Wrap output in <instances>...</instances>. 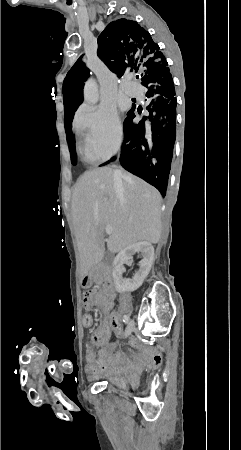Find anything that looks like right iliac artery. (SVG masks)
I'll return each instance as SVG.
<instances>
[{"mask_svg":"<svg viewBox=\"0 0 241 450\" xmlns=\"http://www.w3.org/2000/svg\"><path fill=\"white\" fill-rule=\"evenodd\" d=\"M128 321H129V317L128 316H124V318H123V322H125L126 324L128 323Z\"/></svg>","mask_w":241,"mask_h":450,"instance_id":"82829eb1","label":"right iliac artery"}]
</instances>
